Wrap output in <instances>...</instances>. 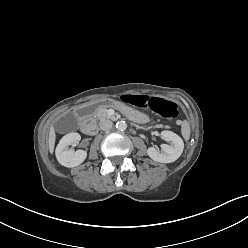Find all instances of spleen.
<instances>
[{
	"mask_svg": "<svg viewBox=\"0 0 248 248\" xmlns=\"http://www.w3.org/2000/svg\"><path fill=\"white\" fill-rule=\"evenodd\" d=\"M181 134L183 138L187 141L190 138V126L188 121L184 120L181 126Z\"/></svg>",
	"mask_w": 248,
	"mask_h": 248,
	"instance_id": "3e777b00",
	"label": "spleen"
}]
</instances>
